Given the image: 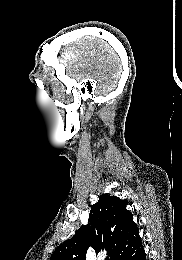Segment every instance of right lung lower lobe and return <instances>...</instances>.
Wrapping results in <instances>:
<instances>
[{
  "label": "right lung lower lobe",
  "instance_id": "right-lung-lower-lobe-1",
  "mask_svg": "<svg viewBox=\"0 0 182 260\" xmlns=\"http://www.w3.org/2000/svg\"><path fill=\"white\" fill-rule=\"evenodd\" d=\"M116 260H146V254L141 239L131 248L120 254Z\"/></svg>",
  "mask_w": 182,
  "mask_h": 260
}]
</instances>
